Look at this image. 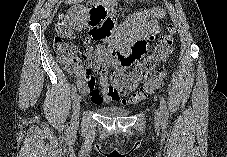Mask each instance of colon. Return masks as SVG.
I'll return each instance as SVG.
<instances>
[{"label":"colon","instance_id":"colon-1","mask_svg":"<svg viewBox=\"0 0 227 157\" xmlns=\"http://www.w3.org/2000/svg\"><path fill=\"white\" fill-rule=\"evenodd\" d=\"M90 16H93L92 9H90ZM55 31L56 37L54 39V50L56 52L58 62L66 67H74L76 63L80 61L77 56V49L73 44L65 41L75 38L76 35L74 30L71 28L64 17H59L55 26ZM109 33L110 30L109 32H95L94 34H92V38L98 39L100 37H105L109 35ZM174 33V28L170 26L168 32L157 39L152 52L136 65L134 69V73L136 75L143 78L146 77L160 63V61L166 59L172 53L174 48ZM86 43L89 44L90 40L87 39ZM84 58L87 67V78L89 81H95L93 72L100 76L107 74L111 86L117 92L125 95L132 90V79L129 74H108L103 67L94 65V62L90 59L88 53ZM124 63L133 64L134 62ZM165 77L166 72L163 68H161L158 72L153 74L125 102L128 104L139 103L149 94L160 88L165 80Z\"/></svg>","mask_w":227,"mask_h":157}]
</instances>
